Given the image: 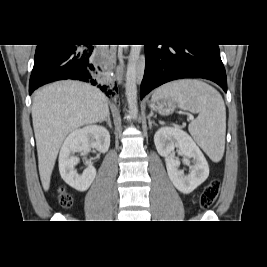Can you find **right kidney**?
<instances>
[{"label":"right kidney","instance_id":"ca27d5eb","mask_svg":"<svg viewBox=\"0 0 267 267\" xmlns=\"http://www.w3.org/2000/svg\"><path fill=\"white\" fill-rule=\"evenodd\" d=\"M109 146V132L102 126L89 125L71 132L59 154V171L63 180L78 191H86L96 177V169L91 161L86 160L87 168L79 174L75 166L80 160L75 153H86L90 148L107 152Z\"/></svg>","mask_w":267,"mask_h":267}]
</instances>
